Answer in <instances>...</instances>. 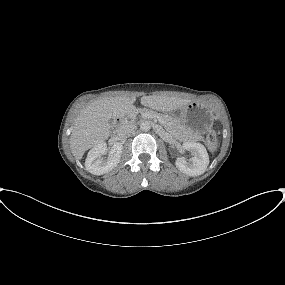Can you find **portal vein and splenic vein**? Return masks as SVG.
<instances>
[{
  "mask_svg": "<svg viewBox=\"0 0 285 285\" xmlns=\"http://www.w3.org/2000/svg\"><path fill=\"white\" fill-rule=\"evenodd\" d=\"M159 121H160L161 123H163V121H162V120H160V119H159Z\"/></svg>",
  "mask_w": 285,
  "mask_h": 285,
  "instance_id": "portal-vein-and-splenic-vein-1",
  "label": "portal vein and splenic vein"
}]
</instances>
